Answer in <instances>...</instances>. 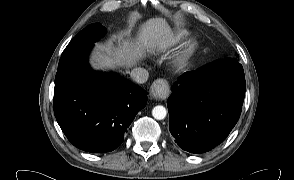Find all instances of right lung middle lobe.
I'll use <instances>...</instances> for the list:
<instances>
[{
  "instance_id": "obj_1",
  "label": "right lung middle lobe",
  "mask_w": 294,
  "mask_h": 180,
  "mask_svg": "<svg viewBox=\"0 0 294 180\" xmlns=\"http://www.w3.org/2000/svg\"><path fill=\"white\" fill-rule=\"evenodd\" d=\"M105 32L106 29L99 23L87 26L70 41L62 54L93 45Z\"/></svg>"
}]
</instances>
